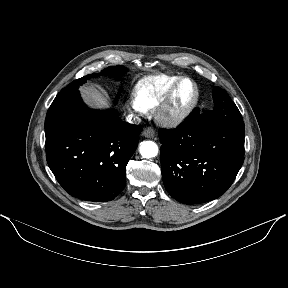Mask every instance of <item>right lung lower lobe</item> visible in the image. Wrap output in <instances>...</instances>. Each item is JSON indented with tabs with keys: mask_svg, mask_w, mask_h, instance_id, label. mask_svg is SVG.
Returning <instances> with one entry per match:
<instances>
[{
	"mask_svg": "<svg viewBox=\"0 0 288 288\" xmlns=\"http://www.w3.org/2000/svg\"><path fill=\"white\" fill-rule=\"evenodd\" d=\"M142 128L113 110L89 109L78 90L53 101L45 119L46 159L59 184L72 196L104 202L126 183V165Z\"/></svg>",
	"mask_w": 288,
	"mask_h": 288,
	"instance_id": "98d812e1",
	"label": "right lung lower lobe"
}]
</instances>
